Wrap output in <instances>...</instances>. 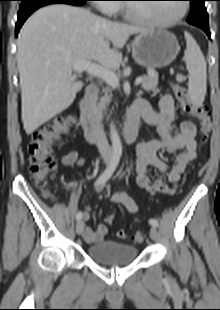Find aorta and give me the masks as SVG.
<instances>
[{"label":"aorta","mask_w":220,"mask_h":310,"mask_svg":"<svg viewBox=\"0 0 220 310\" xmlns=\"http://www.w3.org/2000/svg\"><path fill=\"white\" fill-rule=\"evenodd\" d=\"M110 138L113 149L121 150L122 144L120 141V137L113 123L110 124Z\"/></svg>","instance_id":"1"}]
</instances>
